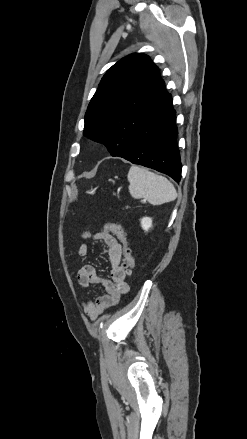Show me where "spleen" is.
<instances>
[{
    "mask_svg": "<svg viewBox=\"0 0 247 439\" xmlns=\"http://www.w3.org/2000/svg\"><path fill=\"white\" fill-rule=\"evenodd\" d=\"M127 178L129 192L135 199L144 198L152 205H161L177 198L174 185L166 177L148 169L131 166Z\"/></svg>",
    "mask_w": 247,
    "mask_h": 439,
    "instance_id": "3e777b00",
    "label": "spleen"
}]
</instances>
